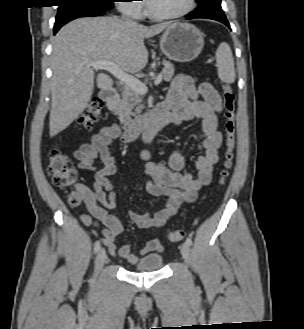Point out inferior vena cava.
Listing matches in <instances>:
<instances>
[{
	"instance_id": "inferior-vena-cava-1",
	"label": "inferior vena cava",
	"mask_w": 304,
	"mask_h": 329,
	"mask_svg": "<svg viewBox=\"0 0 304 329\" xmlns=\"http://www.w3.org/2000/svg\"><path fill=\"white\" fill-rule=\"evenodd\" d=\"M122 19L126 20L127 23H135L130 17L122 15Z\"/></svg>"
}]
</instances>
